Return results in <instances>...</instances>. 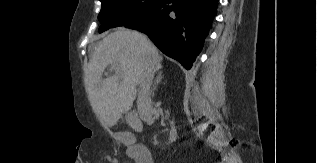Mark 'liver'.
<instances>
[{"label": "liver", "instance_id": "liver-1", "mask_svg": "<svg viewBox=\"0 0 317 163\" xmlns=\"http://www.w3.org/2000/svg\"><path fill=\"white\" fill-rule=\"evenodd\" d=\"M157 48L137 31L120 28L104 37L95 47L85 73L90 103L101 124L112 127L129 111L147 64L162 68ZM119 64L122 74L102 79L109 65Z\"/></svg>", "mask_w": 317, "mask_h": 163}]
</instances>
